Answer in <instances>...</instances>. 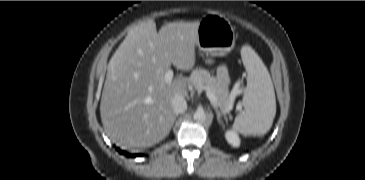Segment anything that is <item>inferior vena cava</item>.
<instances>
[{
    "mask_svg": "<svg viewBox=\"0 0 365 180\" xmlns=\"http://www.w3.org/2000/svg\"><path fill=\"white\" fill-rule=\"evenodd\" d=\"M173 112L176 114L183 113L187 109V103L184 97L175 95L171 101Z\"/></svg>",
    "mask_w": 365,
    "mask_h": 180,
    "instance_id": "inferior-vena-cava-1",
    "label": "inferior vena cava"
}]
</instances>
